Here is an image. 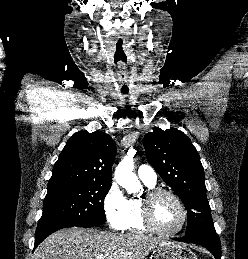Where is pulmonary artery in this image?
<instances>
[{"instance_id": "pulmonary-artery-1", "label": "pulmonary artery", "mask_w": 248, "mask_h": 259, "mask_svg": "<svg viewBox=\"0 0 248 259\" xmlns=\"http://www.w3.org/2000/svg\"><path fill=\"white\" fill-rule=\"evenodd\" d=\"M138 177L147 184L155 185L157 181V174L155 170L149 165H141L137 170Z\"/></svg>"}]
</instances>
